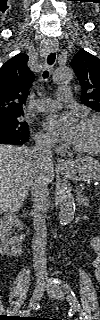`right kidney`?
Listing matches in <instances>:
<instances>
[{"label": "right kidney", "mask_w": 100, "mask_h": 320, "mask_svg": "<svg viewBox=\"0 0 100 320\" xmlns=\"http://www.w3.org/2000/svg\"><path fill=\"white\" fill-rule=\"evenodd\" d=\"M15 228L22 229V223L13 211H9L5 213L0 220L1 249L8 255H12L19 251V245L23 239V235H11V231Z\"/></svg>", "instance_id": "right-kidney-1"}]
</instances>
